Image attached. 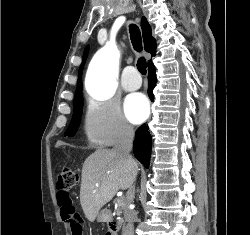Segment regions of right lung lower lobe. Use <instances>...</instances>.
<instances>
[{"label": "right lung lower lobe", "mask_w": 250, "mask_h": 235, "mask_svg": "<svg viewBox=\"0 0 250 235\" xmlns=\"http://www.w3.org/2000/svg\"><path fill=\"white\" fill-rule=\"evenodd\" d=\"M148 94L151 100L154 99L153 88L156 84V70L153 63L150 61L148 63ZM152 139L149 132L148 126L146 124L142 125L136 131V137L133 144V151L135 157L146 167H149V160L151 154Z\"/></svg>", "instance_id": "right-lung-lower-lobe-1"}]
</instances>
